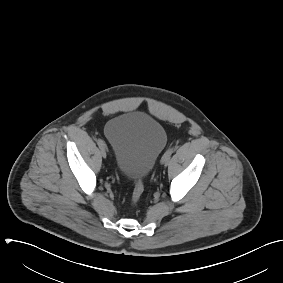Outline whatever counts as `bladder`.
<instances>
[{
    "label": "bladder",
    "mask_w": 283,
    "mask_h": 283,
    "mask_svg": "<svg viewBox=\"0 0 283 283\" xmlns=\"http://www.w3.org/2000/svg\"><path fill=\"white\" fill-rule=\"evenodd\" d=\"M119 171L128 178H144L167 144L164 127L142 112L125 113L105 126Z\"/></svg>",
    "instance_id": "31cf9c89"
}]
</instances>
